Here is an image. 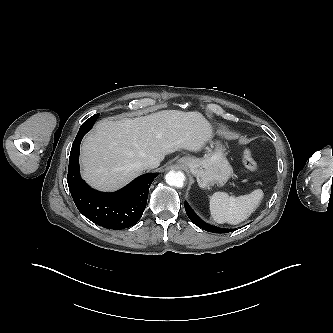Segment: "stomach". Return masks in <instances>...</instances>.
Returning <instances> with one entry per match:
<instances>
[{
	"instance_id": "obj_1",
	"label": "stomach",
	"mask_w": 333,
	"mask_h": 333,
	"mask_svg": "<svg viewBox=\"0 0 333 333\" xmlns=\"http://www.w3.org/2000/svg\"><path fill=\"white\" fill-rule=\"evenodd\" d=\"M178 165L189 170L196 177L201 188H208L214 183H224L232 173L225 149L219 143L216 144L214 151L202 158L185 156L178 159Z\"/></svg>"
}]
</instances>
